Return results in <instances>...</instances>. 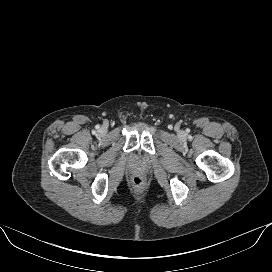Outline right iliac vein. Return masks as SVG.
<instances>
[{"label":"right iliac vein","mask_w":272,"mask_h":272,"mask_svg":"<svg viewBox=\"0 0 272 272\" xmlns=\"http://www.w3.org/2000/svg\"><path fill=\"white\" fill-rule=\"evenodd\" d=\"M99 133H100V134H104V133H105V129H104V128H101V129L99 130Z\"/></svg>","instance_id":"obj_1"}]
</instances>
